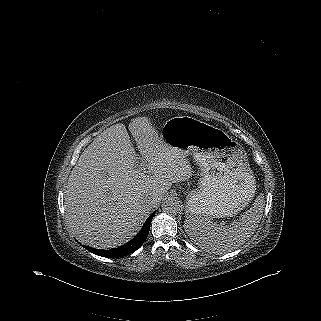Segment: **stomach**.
Segmentation results:
<instances>
[{"mask_svg": "<svg viewBox=\"0 0 321 321\" xmlns=\"http://www.w3.org/2000/svg\"><path fill=\"white\" fill-rule=\"evenodd\" d=\"M160 137L183 157L192 154L201 167L199 187L186 198L189 216H231L253 196L254 179L244 150L221 129L176 116L163 124Z\"/></svg>", "mask_w": 321, "mask_h": 321, "instance_id": "0dacf381", "label": "stomach"}]
</instances>
